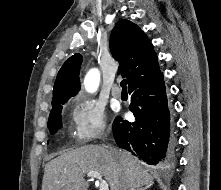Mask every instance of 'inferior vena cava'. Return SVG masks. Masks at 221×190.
<instances>
[{
	"label": "inferior vena cava",
	"instance_id": "1",
	"mask_svg": "<svg viewBox=\"0 0 221 190\" xmlns=\"http://www.w3.org/2000/svg\"><path fill=\"white\" fill-rule=\"evenodd\" d=\"M108 149L112 152V154L115 156V157H118L119 156V152L116 148L112 147V146H107ZM120 189L121 190H130V186L129 184L124 181L122 182L121 186H120Z\"/></svg>",
	"mask_w": 221,
	"mask_h": 190
}]
</instances>
